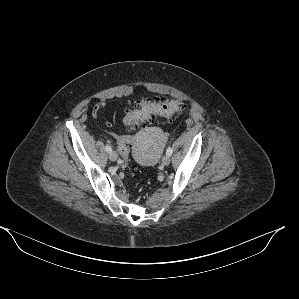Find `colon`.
<instances>
[{"mask_svg":"<svg viewBox=\"0 0 299 299\" xmlns=\"http://www.w3.org/2000/svg\"><path fill=\"white\" fill-rule=\"evenodd\" d=\"M187 111V105L179 100L166 98L143 99L137 103L136 108L130 112L126 122L130 129L145 126L157 117L170 120L174 115ZM129 144L122 146V158L125 160L129 154Z\"/></svg>","mask_w":299,"mask_h":299,"instance_id":"obj_1","label":"colon"}]
</instances>
